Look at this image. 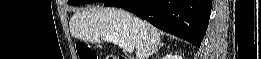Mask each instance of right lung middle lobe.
Instances as JSON below:
<instances>
[{
	"label": "right lung middle lobe",
	"mask_w": 261,
	"mask_h": 59,
	"mask_svg": "<svg viewBox=\"0 0 261 59\" xmlns=\"http://www.w3.org/2000/svg\"><path fill=\"white\" fill-rule=\"evenodd\" d=\"M96 1L104 2L105 0H70L68 2V4H70V5H79V4L94 3Z\"/></svg>",
	"instance_id": "dd1d6c3e"
}]
</instances>
